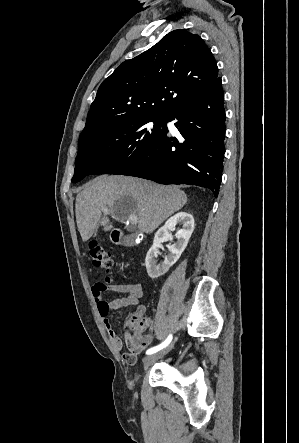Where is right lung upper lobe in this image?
<instances>
[{
	"label": "right lung upper lobe",
	"mask_w": 299,
	"mask_h": 443,
	"mask_svg": "<svg viewBox=\"0 0 299 443\" xmlns=\"http://www.w3.org/2000/svg\"><path fill=\"white\" fill-rule=\"evenodd\" d=\"M217 78L216 61L203 39L174 30L102 82L80 138L126 120L165 117Z\"/></svg>",
	"instance_id": "obj_1"
}]
</instances>
